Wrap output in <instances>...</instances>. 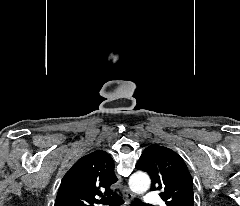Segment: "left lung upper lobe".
Listing matches in <instances>:
<instances>
[{"instance_id": "obj_1", "label": "left lung upper lobe", "mask_w": 240, "mask_h": 206, "mask_svg": "<svg viewBox=\"0 0 240 206\" xmlns=\"http://www.w3.org/2000/svg\"><path fill=\"white\" fill-rule=\"evenodd\" d=\"M136 169L150 175L151 190H160L167 206H194L191 175L183 159L173 150L150 145L143 151Z\"/></svg>"}]
</instances>
